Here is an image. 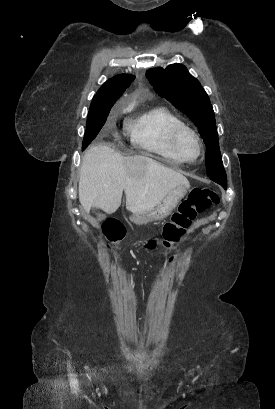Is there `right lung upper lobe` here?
Wrapping results in <instances>:
<instances>
[{"label":"right lung upper lobe","mask_w":275,"mask_h":409,"mask_svg":"<svg viewBox=\"0 0 275 409\" xmlns=\"http://www.w3.org/2000/svg\"><path fill=\"white\" fill-rule=\"evenodd\" d=\"M133 79L134 76L120 74L107 80L93 97L90 110L112 107Z\"/></svg>","instance_id":"cb5924a9"}]
</instances>
